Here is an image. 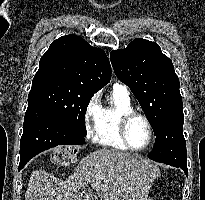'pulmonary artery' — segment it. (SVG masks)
Returning a JSON list of instances; mask_svg holds the SVG:
<instances>
[{"instance_id": "e3ab8cb5", "label": "pulmonary artery", "mask_w": 205, "mask_h": 200, "mask_svg": "<svg viewBox=\"0 0 205 200\" xmlns=\"http://www.w3.org/2000/svg\"><path fill=\"white\" fill-rule=\"evenodd\" d=\"M114 88L117 89V90H120V91H122L126 94H129L128 88L124 84L116 83V84H114Z\"/></svg>"}]
</instances>
